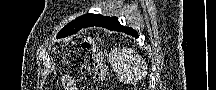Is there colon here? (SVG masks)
<instances>
[{"mask_svg": "<svg viewBox=\"0 0 216 90\" xmlns=\"http://www.w3.org/2000/svg\"><path fill=\"white\" fill-rule=\"evenodd\" d=\"M81 45L83 48L91 51V56L95 68L94 78L101 86H104L107 82V73L100 52L97 49L91 47L86 41L82 42Z\"/></svg>", "mask_w": 216, "mask_h": 90, "instance_id": "obj_1", "label": "colon"}]
</instances>
